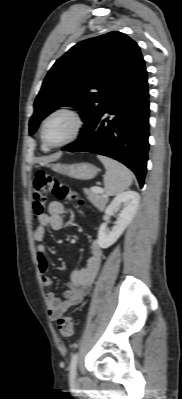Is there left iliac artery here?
Returning a JSON list of instances; mask_svg holds the SVG:
<instances>
[{
    "label": "left iliac artery",
    "mask_w": 182,
    "mask_h": 399,
    "mask_svg": "<svg viewBox=\"0 0 182 399\" xmlns=\"http://www.w3.org/2000/svg\"><path fill=\"white\" fill-rule=\"evenodd\" d=\"M77 361H78V353H74L71 358L70 368H69L71 377L76 376Z\"/></svg>",
    "instance_id": "obj_1"
}]
</instances>
